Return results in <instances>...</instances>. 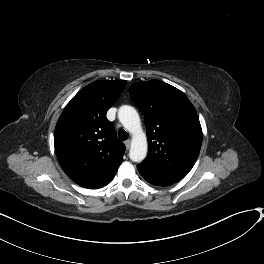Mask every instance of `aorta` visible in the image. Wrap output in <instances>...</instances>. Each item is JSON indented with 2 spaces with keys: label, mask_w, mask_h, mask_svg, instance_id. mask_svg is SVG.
Listing matches in <instances>:
<instances>
[{
  "label": "aorta",
  "mask_w": 264,
  "mask_h": 264,
  "mask_svg": "<svg viewBox=\"0 0 264 264\" xmlns=\"http://www.w3.org/2000/svg\"><path fill=\"white\" fill-rule=\"evenodd\" d=\"M118 119L121 124L132 133V142L129 157L134 162L145 159L148 150L147 138L142 131L140 117L132 106L123 105L118 110Z\"/></svg>",
  "instance_id": "1"
}]
</instances>
